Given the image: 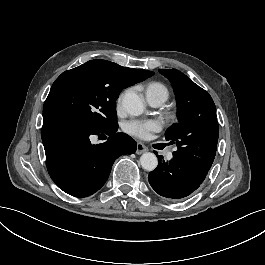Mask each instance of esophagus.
Segmentation results:
<instances>
[{"mask_svg":"<svg viewBox=\"0 0 265 265\" xmlns=\"http://www.w3.org/2000/svg\"><path fill=\"white\" fill-rule=\"evenodd\" d=\"M148 151V148L141 142L137 143L136 154L141 155L142 153Z\"/></svg>","mask_w":265,"mask_h":265,"instance_id":"obj_1","label":"esophagus"}]
</instances>
